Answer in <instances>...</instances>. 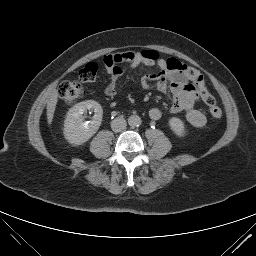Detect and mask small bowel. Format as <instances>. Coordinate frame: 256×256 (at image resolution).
<instances>
[{"label":"small bowel","mask_w":256,"mask_h":256,"mask_svg":"<svg viewBox=\"0 0 256 256\" xmlns=\"http://www.w3.org/2000/svg\"><path fill=\"white\" fill-rule=\"evenodd\" d=\"M148 51L134 52L128 51L117 53L120 59L119 65L115 69H106L109 75V82L105 87L107 96L116 94L117 81L125 73L123 64H128L130 68L140 65L156 67L157 71L146 75L142 79V86L145 89L154 88L160 92L169 91L173 95V102L170 107L172 114L185 113L187 121L194 127H202L206 124V116L195 108L199 95L184 68L187 66L177 59L151 58L147 55ZM152 120H159L162 112L158 108H151L148 112Z\"/></svg>","instance_id":"1"}]
</instances>
